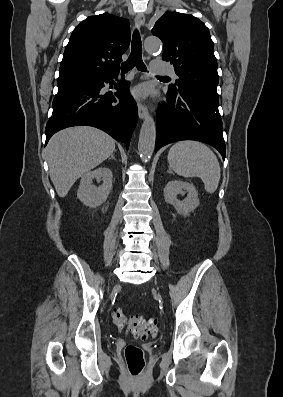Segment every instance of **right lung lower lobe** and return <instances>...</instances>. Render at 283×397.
I'll use <instances>...</instances> for the list:
<instances>
[{
    "label": "right lung lower lobe",
    "instance_id": "obj_1",
    "mask_svg": "<svg viewBox=\"0 0 283 397\" xmlns=\"http://www.w3.org/2000/svg\"><path fill=\"white\" fill-rule=\"evenodd\" d=\"M118 74L89 82L73 83L58 88L52 108V117L46 125V144L54 133L71 126L89 125L99 128L129 147L138 113L129 92V81L116 84L117 92L102 94L104 83L114 84Z\"/></svg>",
    "mask_w": 283,
    "mask_h": 397
}]
</instances>
